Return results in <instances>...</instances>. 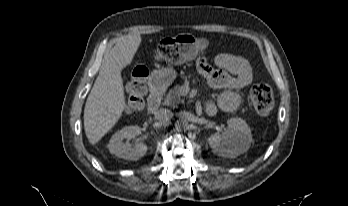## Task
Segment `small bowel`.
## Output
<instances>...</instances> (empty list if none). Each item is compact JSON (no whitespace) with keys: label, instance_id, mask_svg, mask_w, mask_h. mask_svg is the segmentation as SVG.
<instances>
[{"label":"small bowel","instance_id":"1","mask_svg":"<svg viewBox=\"0 0 348 206\" xmlns=\"http://www.w3.org/2000/svg\"><path fill=\"white\" fill-rule=\"evenodd\" d=\"M215 67L205 58L197 62L198 71L206 78L208 84L216 89H224L218 97V105L225 111L235 110L241 103L239 89L248 86L253 79L249 62L238 55L222 53L214 58ZM215 105L206 101L204 113H215Z\"/></svg>","mask_w":348,"mask_h":206}]
</instances>
